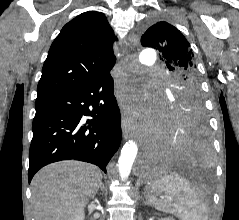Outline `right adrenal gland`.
Segmentation results:
<instances>
[{"mask_svg":"<svg viewBox=\"0 0 239 220\" xmlns=\"http://www.w3.org/2000/svg\"><path fill=\"white\" fill-rule=\"evenodd\" d=\"M99 189H101L102 192H104V190H105V188H104V184H103L102 181H101V182L99 183V185L97 186V188H96V192H97Z\"/></svg>","mask_w":239,"mask_h":220,"instance_id":"obj_1","label":"right adrenal gland"}]
</instances>
